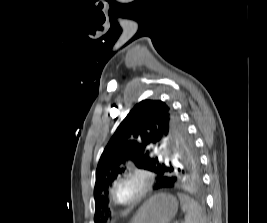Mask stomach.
I'll return each instance as SVG.
<instances>
[{"instance_id": "0dacf381", "label": "stomach", "mask_w": 267, "mask_h": 223, "mask_svg": "<svg viewBox=\"0 0 267 223\" xmlns=\"http://www.w3.org/2000/svg\"><path fill=\"white\" fill-rule=\"evenodd\" d=\"M178 210V201L171 194L158 193L137 211L131 223H170Z\"/></svg>"}]
</instances>
